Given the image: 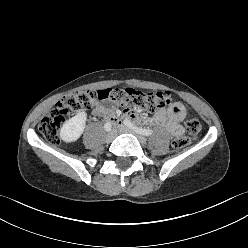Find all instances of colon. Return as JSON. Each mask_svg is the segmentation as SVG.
I'll use <instances>...</instances> for the list:
<instances>
[{
    "label": "colon",
    "instance_id": "5ec220e1",
    "mask_svg": "<svg viewBox=\"0 0 248 248\" xmlns=\"http://www.w3.org/2000/svg\"><path fill=\"white\" fill-rule=\"evenodd\" d=\"M110 99L127 108L140 111H154L172 102L168 92H144L133 88H109L99 91L76 90L64 96L56 106L39 122V131L51 144L59 142V130L75 112L92 107L96 101ZM201 123L190 119L185 124L186 135L173 139L172 146L181 149L200 135Z\"/></svg>",
    "mask_w": 248,
    "mask_h": 248
}]
</instances>
